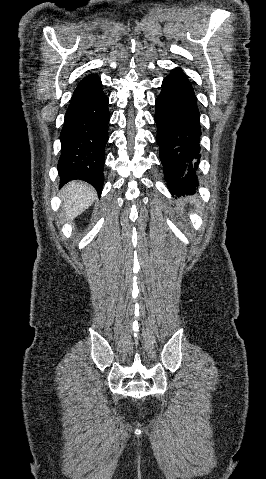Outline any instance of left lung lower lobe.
Returning <instances> with one entry per match:
<instances>
[{"instance_id": "left-lung-lower-lobe-1", "label": "left lung lower lobe", "mask_w": 266, "mask_h": 479, "mask_svg": "<svg viewBox=\"0 0 266 479\" xmlns=\"http://www.w3.org/2000/svg\"><path fill=\"white\" fill-rule=\"evenodd\" d=\"M199 111L194 90L183 71L174 69L156 99V141L172 195L194 194L201 159Z\"/></svg>"}]
</instances>
